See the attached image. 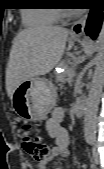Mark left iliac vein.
<instances>
[{"label": "left iliac vein", "mask_w": 104, "mask_h": 169, "mask_svg": "<svg viewBox=\"0 0 104 169\" xmlns=\"http://www.w3.org/2000/svg\"><path fill=\"white\" fill-rule=\"evenodd\" d=\"M93 161L95 164H99L100 159H99V152L97 151L96 148L93 150Z\"/></svg>", "instance_id": "1"}]
</instances>
